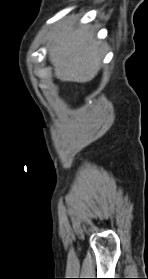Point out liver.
<instances>
[{
    "mask_svg": "<svg viewBox=\"0 0 148 279\" xmlns=\"http://www.w3.org/2000/svg\"><path fill=\"white\" fill-rule=\"evenodd\" d=\"M55 76L62 81L86 83L101 67L100 43L88 26L68 23L52 37L48 48Z\"/></svg>",
    "mask_w": 148,
    "mask_h": 279,
    "instance_id": "liver-1",
    "label": "liver"
}]
</instances>
